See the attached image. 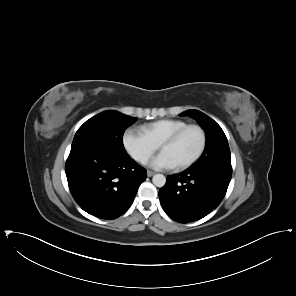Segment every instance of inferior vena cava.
Returning a JSON list of instances; mask_svg holds the SVG:
<instances>
[{
  "mask_svg": "<svg viewBox=\"0 0 296 296\" xmlns=\"http://www.w3.org/2000/svg\"><path fill=\"white\" fill-rule=\"evenodd\" d=\"M148 156L147 155H138L137 157H136V159L138 160V161H140L141 163H146L147 161H148Z\"/></svg>",
  "mask_w": 296,
  "mask_h": 296,
  "instance_id": "inferior-vena-cava-1",
  "label": "inferior vena cava"
}]
</instances>
